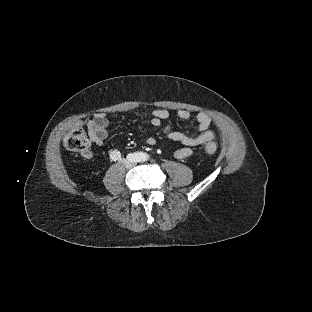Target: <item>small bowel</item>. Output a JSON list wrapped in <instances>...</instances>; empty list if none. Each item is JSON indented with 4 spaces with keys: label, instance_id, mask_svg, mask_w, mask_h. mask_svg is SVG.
<instances>
[{
    "label": "small bowel",
    "instance_id": "1",
    "mask_svg": "<svg viewBox=\"0 0 312 312\" xmlns=\"http://www.w3.org/2000/svg\"><path fill=\"white\" fill-rule=\"evenodd\" d=\"M170 111L166 108L154 109L150 112V129L154 132V126L159 121H165L170 118ZM176 115L181 120H189L191 112L187 109H178ZM198 123V132L196 134L185 133L181 131L171 130L169 136L166 137L168 142H179L183 145L182 148L172 149V155L177 159H184L192 154V148L198 145L207 144L212 142L215 138V133L210 129L212 119L209 114L205 112H198L196 115ZM91 141L96 145H101L108 136L109 120L104 113L95 114L91 119L86 121ZM157 140L153 134L146 138V143L149 146H154ZM90 150L84 152L82 156L85 159L92 158Z\"/></svg>",
    "mask_w": 312,
    "mask_h": 312
}]
</instances>
